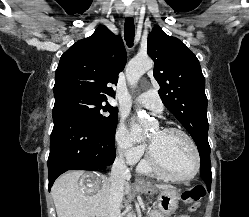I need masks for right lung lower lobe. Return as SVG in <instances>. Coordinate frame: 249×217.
Masks as SVG:
<instances>
[{"mask_svg":"<svg viewBox=\"0 0 249 217\" xmlns=\"http://www.w3.org/2000/svg\"><path fill=\"white\" fill-rule=\"evenodd\" d=\"M54 127L48 158L49 190L68 170H105L115 159L114 135L93 130L75 113L53 108Z\"/></svg>","mask_w":249,"mask_h":217,"instance_id":"obj_1","label":"right lung lower lobe"}]
</instances>
